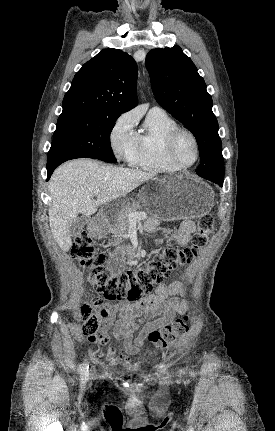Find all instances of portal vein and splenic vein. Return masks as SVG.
<instances>
[{"label": "portal vein and splenic vein", "instance_id": "1", "mask_svg": "<svg viewBox=\"0 0 275 431\" xmlns=\"http://www.w3.org/2000/svg\"><path fill=\"white\" fill-rule=\"evenodd\" d=\"M99 193V190L94 191V195H98ZM128 218L130 221L143 220L147 218V214L145 212H130Z\"/></svg>", "mask_w": 275, "mask_h": 431}]
</instances>
